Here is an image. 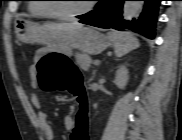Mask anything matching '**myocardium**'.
<instances>
[{"instance_id":"myocardium-1","label":"myocardium","mask_w":182,"mask_h":140,"mask_svg":"<svg viewBox=\"0 0 182 140\" xmlns=\"http://www.w3.org/2000/svg\"><path fill=\"white\" fill-rule=\"evenodd\" d=\"M48 1H53V0H48ZM47 9L50 13L51 16L59 18V19H65V20H70V19H75L78 17H81L85 14H87L91 9H92V3L89 2L86 4V6L84 8H82L81 10L77 11V12H73V13H66L61 11L57 4L54 3H48L46 4Z\"/></svg>"}]
</instances>
